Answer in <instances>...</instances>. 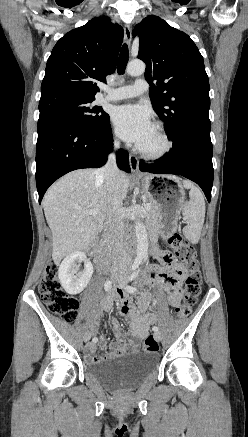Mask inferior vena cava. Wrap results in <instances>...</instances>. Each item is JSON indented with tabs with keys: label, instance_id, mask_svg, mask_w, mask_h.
Here are the masks:
<instances>
[{
	"label": "inferior vena cava",
	"instance_id": "602c4592",
	"mask_svg": "<svg viewBox=\"0 0 248 437\" xmlns=\"http://www.w3.org/2000/svg\"><path fill=\"white\" fill-rule=\"evenodd\" d=\"M114 146L119 148V142L115 141ZM97 177L104 179L111 205V212L106 218V224L109 227L112 240L113 266L129 267L131 260L124 241V223L120 215L122 200L119 190V170L114 154H110L107 163L97 171Z\"/></svg>",
	"mask_w": 248,
	"mask_h": 437
}]
</instances>
